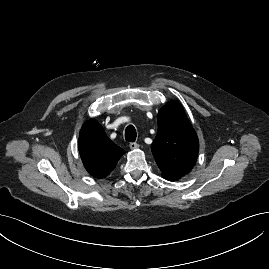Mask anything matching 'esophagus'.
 <instances>
[{"label": "esophagus", "instance_id": "34e87169", "mask_svg": "<svg viewBox=\"0 0 269 269\" xmlns=\"http://www.w3.org/2000/svg\"><path fill=\"white\" fill-rule=\"evenodd\" d=\"M129 147H130V149L134 150V149L139 148V144L136 142H132L129 144Z\"/></svg>", "mask_w": 269, "mask_h": 269}]
</instances>
